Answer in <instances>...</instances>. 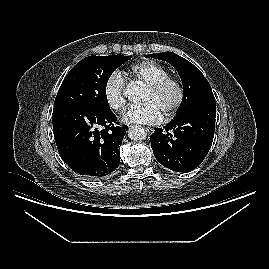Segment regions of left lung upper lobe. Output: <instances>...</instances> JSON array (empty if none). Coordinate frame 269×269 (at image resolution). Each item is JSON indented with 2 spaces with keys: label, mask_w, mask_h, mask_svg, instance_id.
I'll return each instance as SVG.
<instances>
[{
  "label": "left lung upper lobe",
  "mask_w": 269,
  "mask_h": 269,
  "mask_svg": "<svg viewBox=\"0 0 269 269\" xmlns=\"http://www.w3.org/2000/svg\"><path fill=\"white\" fill-rule=\"evenodd\" d=\"M170 63L180 75L183 84V101L174 120L203 103H216L211 87L201 71L183 57L172 53H154L146 56Z\"/></svg>",
  "instance_id": "5c2ea615"
}]
</instances>
